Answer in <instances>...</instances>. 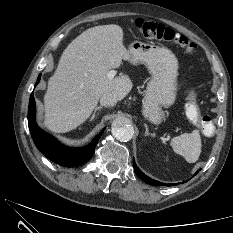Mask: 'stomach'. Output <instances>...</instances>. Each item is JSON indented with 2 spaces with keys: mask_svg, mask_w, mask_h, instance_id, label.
Wrapping results in <instances>:
<instances>
[{
  "mask_svg": "<svg viewBox=\"0 0 233 233\" xmlns=\"http://www.w3.org/2000/svg\"><path fill=\"white\" fill-rule=\"evenodd\" d=\"M130 61L143 63L151 74L143 102V115L154 124L164 119L163 107L172 105L176 98L178 61L167 48L134 41L129 45Z\"/></svg>",
  "mask_w": 233,
  "mask_h": 233,
  "instance_id": "0dacf381",
  "label": "stomach"
}]
</instances>
